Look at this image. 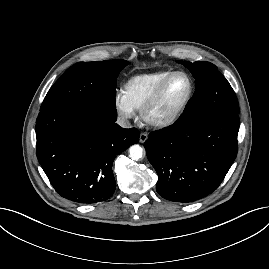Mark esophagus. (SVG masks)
Segmentation results:
<instances>
[{
	"mask_svg": "<svg viewBox=\"0 0 269 269\" xmlns=\"http://www.w3.org/2000/svg\"><path fill=\"white\" fill-rule=\"evenodd\" d=\"M148 139V134L145 132H141L139 136V141L141 143H144Z\"/></svg>",
	"mask_w": 269,
	"mask_h": 269,
	"instance_id": "obj_1",
	"label": "esophagus"
}]
</instances>
